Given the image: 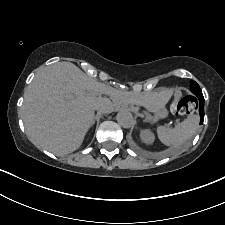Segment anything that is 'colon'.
<instances>
[{
  "label": "colon",
  "instance_id": "colon-1",
  "mask_svg": "<svg viewBox=\"0 0 225 225\" xmlns=\"http://www.w3.org/2000/svg\"><path fill=\"white\" fill-rule=\"evenodd\" d=\"M198 109V102L194 96L183 95V90L178 88L174 91L172 111L180 115H192Z\"/></svg>",
  "mask_w": 225,
  "mask_h": 225
}]
</instances>
